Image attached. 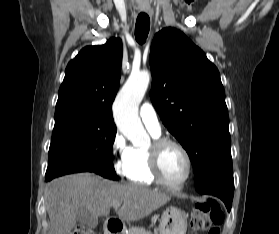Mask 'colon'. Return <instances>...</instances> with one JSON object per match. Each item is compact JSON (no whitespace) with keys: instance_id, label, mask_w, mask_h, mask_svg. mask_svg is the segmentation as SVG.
Returning <instances> with one entry per match:
<instances>
[{"instance_id":"1","label":"colon","mask_w":279,"mask_h":234,"mask_svg":"<svg viewBox=\"0 0 279 234\" xmlns=\"http://www.w3.org/2000/svg\"><path fill=\"white\" fill-rule=\"evenodd\" d=\"M224 220L221 205L216 199L197 203L191 213L190 227L193 231L208 230V234H221L220 226ZM71 234H92L83 226L77 227Z\"/></svg>"}]
</instances>
